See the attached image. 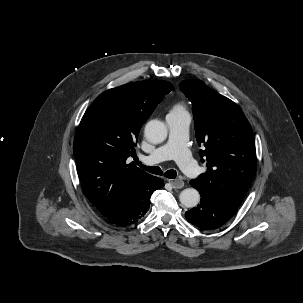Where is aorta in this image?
Listing matches in <instances>:
<instances>
[{
    "mask_svg": "<svg viewBox=\"0 0 303 303\" xmlns=\"http://www.w3.org/2000/svg\"><path fill=\"white\" fill-rule=\"evenodd\" d=\"M144 133L149 142L159 144L166 139L168 132L162 121L154 119L146 124ZM179 200L183 206L194 208L200 201V194L194 188H187L180 193Z\"/></svg>",
    "mask_w": 303,
    "mask_h": 303,
    "instance_id": "1",
    "label": "aorta"
}]
</instances>
